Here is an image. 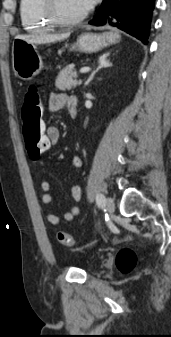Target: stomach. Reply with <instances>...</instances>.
I'll list each match as a JSON object with an SVG mask.
<instances>
[{"instance_id":"1","label":"stomach","mask_w":171,"mask_h":337,"mask_svg":"<svg viewBox=\"0 0 171 337\" xmlns=\"http://www.w3.org/2000/svg\"><path fill=\"white\" fill-rule=\"evenodd\" d=\"M120 41V35L113 32L102 34L84 33L79 36L72 49L93 53ZM12 67L15 75L22 80H31L43 68L42 58L34 43L15 39L12 45Z\"/></svg>"}]
</instances>
